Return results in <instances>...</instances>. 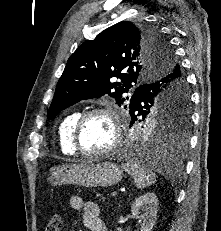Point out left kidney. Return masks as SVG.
Here are the masks:
<instances>
[{"label":"left kidney","mask_w":221,"mask_h":231,"mask_svg":"<svg viewBox=\"0 0 221 231\" xmlns=\"http://www.w3.org/2000/svg\"><path fill=\"white\" fill-rule=\"evenodd\" d=\"M132 215L141 223L140 231H151L157 220L158 199L154 193L138 197L131 206ZM141 212H144L141 214Z\"/></svg>","instance_id":"5707ae66"}]
</instances>
